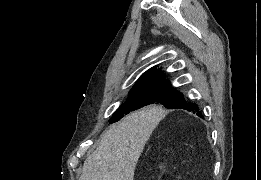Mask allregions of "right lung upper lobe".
Segmentation results:
<instances>
[{
    "mask_svg": "<svg viewBox=\"0 0 261 180\" xmlns=\"http://www.w3.org/2000/svg\"><path fill=\"white\" fill-rule=\"evenodd\" d=\"M158 83H168V81L162 78L160 69H156L155 67H153L139 78L138 82L135 84L134 87L148 86Z\"/></svg>",
    "mask_w": 261,
    "mask_h": 180,
    "instance_id": "cb5924a9",
    "label": "right lung upper lobe"
}]
</instances>
